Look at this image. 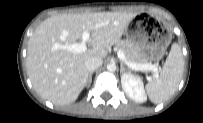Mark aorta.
<instances>
[{
    "label": "aorta",
    "instance_id": "obj_1",
    "mask_svg": "<svg viewBox=\"0 0 203 123\" xmlns=\"http://www.w3.org/2000/svg\"><path fill=\"white\" fill-rule=\"evenodd\" d=\"M107 70L109 71H115L116 70V65L114 63H110L107 65Z\"/></svg>",
    "mask_w": 203,
    "mask_h": 123
}]
</instances>
